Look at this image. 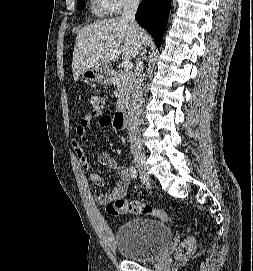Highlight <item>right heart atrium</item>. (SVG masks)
<instances>
[{
	"mask_svg": "<svg viewBox=\"0 0 253 271\" xmlns=\"http://www.w3.org/2000/svg\"><path fill=\"white\" fill-rule=\"evenodd\" d=\"M99 4L106 10L107 13H119L123 7L131 4H136L140 0H98Z\"/></svg>",
	"mask_w": 253,
	"mask_h": 271,
	"instance_id": "d8ad5b80",
	"label": "right heart atrium"
}]
</instances>
